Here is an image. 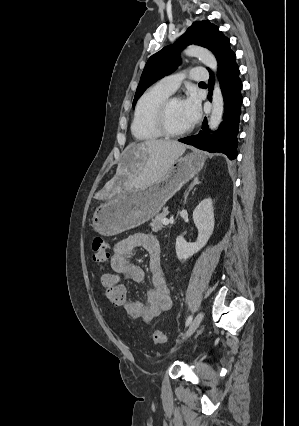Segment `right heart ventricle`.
I'll list each match as a JSON object with an SVG mask.
<instances>
[{
	"instance_id": "right-heart-ventricle-1",
	"label": "right heart ventricle",
	"mask_w": 299,
	"mask_h": 426,
	"mask_svg": "<svg viewBox=\"0 0 299 426\" xmlns=\"http://www.w3.org/2000/svg\"><path fill=\"white\" fill-rule=\"evenodd\" d=\"M171 93L159 83L150 87L139 99L132 121L131 131L139 141H154L162 137L154 124L155 112L160 103Z\"/></svg>"
}]
</instances>
